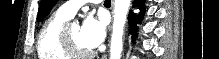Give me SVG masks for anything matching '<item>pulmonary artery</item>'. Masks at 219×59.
<instances>
[{
	"label": "pulmonary artery",
	"instance_id": "1",
	"mask_svg": "<svg viewBox=\"0 0 219 59\" xmlns=\"http://www.w3.org/2000/svg\"><path fill=\"white\" fill-rule=\"evenodd\" d=\"M86 2L89 1H83V0L68 1L62 4L59 7L58 11L66 15L67 17L71 18L75 15L77 10Z\"/></svg>",
	"mask_w": 219,
	"mask_h": 59
}]
</instances>
